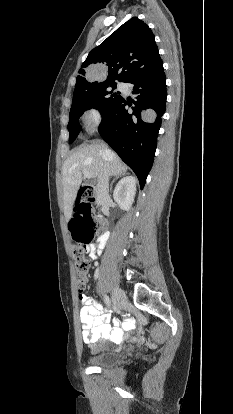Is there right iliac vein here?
<instances>
[{
    "label": "right iliac vein",
    "instance_id": "obj_1",
    "mask_svg": "<svg viewBox=\"0 0 233 414\" xmlns=\"http://www.w3.org/2000/svg\"><path fill=\"white\" fill-rule=\"evenodd\" d=\"M112 301H113L115 309L117 311H120L127 302V297L124 291L118 288L114 289L112 293Z\"/></svg>",
    "mask_w": 233,
    "mask_h": 414
}]
</instances>
